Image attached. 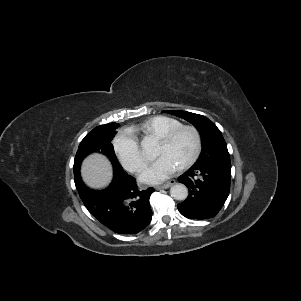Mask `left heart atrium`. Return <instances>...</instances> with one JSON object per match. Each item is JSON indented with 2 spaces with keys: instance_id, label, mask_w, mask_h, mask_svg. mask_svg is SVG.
Returning a JSON list of instances; mask_svg holds the SVG:
<instances>
[{
  "instance_id": "1",
  "label": "left heart atrium",
  "mask_w": 301,
  "mask_h": 301,
  "mask_svg": "<svg viewBox=\"0 0 301 301\" xmlns=\"http://www.w3.org/2000/svg\"><path fill=\"white\" fill-rule=\"evenodd\" d=\"M180 168V165L166 155L159 156L141 174L142 180L157 183L165 180Z\"/></svg>"
}]
</instances>
